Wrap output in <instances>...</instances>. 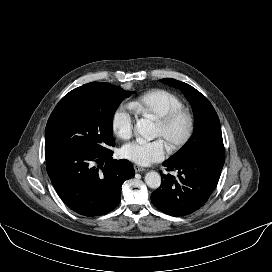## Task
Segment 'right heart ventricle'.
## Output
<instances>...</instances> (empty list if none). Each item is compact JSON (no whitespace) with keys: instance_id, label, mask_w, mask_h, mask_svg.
Segmentation results:
<instances>
[{"instance_id":"e07e8e85","label":"right heart ventricle","mask_w":272,"mask_h":272,"mask_svg":"<svg viewBox=\"0 0 272 272\" xmlns=\"http://www.w3.org/2000/svg\"><path fill=\"white\" fill-rule=\"evenodd\" d=\"M131 107L143 116L158 120L173 109L182 108V100L174 93L164 89H154L138 97Z\"/></svg>"}]
</instances>
